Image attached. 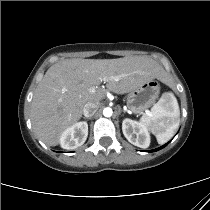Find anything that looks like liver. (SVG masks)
Listing matches in <instances>:
<instances>
[{"label":"liver","instance_id":"1","mask_svg":"<svg viewBox=\"0 0 210 210\" xmlns=\"http://www.w3.org/2000/svg\"><path fill=\"white\" fill-rule=\"evenodd\" d=\"M154 79L165 81L164 70L144 56L66 59L55 63L33 96V129L45 144L56 146L63 131L80 120L86 103H99L108 91L128 93ZM102 83H106V88H100Z\"/></svg>","mask_w":210,"mask_h":210}]
</instances>
